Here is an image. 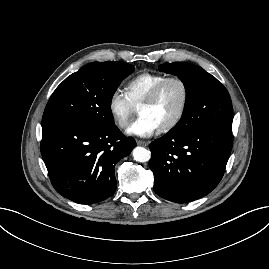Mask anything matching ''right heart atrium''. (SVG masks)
<instances>
[{
    "label": "right heart atrium",
    "mask_w": 269,
    "mask_h": 269,
    "mask_svg": "<svg viewBox=\"0 0 269 269\" xmlns=\"http://www.w3.org/2000/svg\"><path fill=\"white\" fill-rule=\"evenodd\" d=\"M108 110L114 123L119 128L124 129L130 122V118L134 112V106L125 92L115 89L109 96Z\"/></svg>",
    "instance_id": "obj_1"
}]
</instances>
